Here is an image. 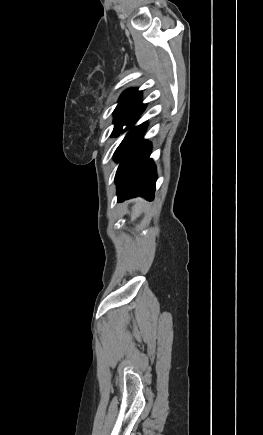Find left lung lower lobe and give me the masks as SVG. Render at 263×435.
I'll return each mask as SVG.
<instances>
[{
  "mask_svg": "<svg viewBox=\"0 0 263 435\" xmlns=\"http://www.w3.org/2000/svg\"><path fill=\"white\" fill-rule=\"evenodd\" d=\"M135 121L125 130L131 128ZM144 131V124L132 128L114 153L115 159L120 161L115 177L118 202L139 195L153 199L156 167L149 159L151 144L141 139Z\"/></svg>",
  "mask_w": 263,
  "mask_h": 435,
  "instance_id": "0a47b994",
  "label": "left lung lower lobe"
}]
</instances>
